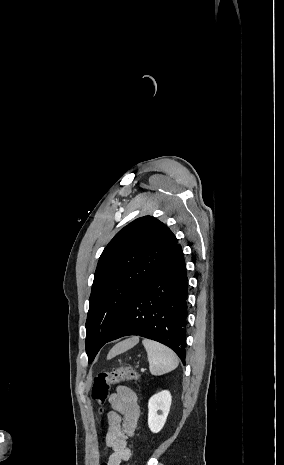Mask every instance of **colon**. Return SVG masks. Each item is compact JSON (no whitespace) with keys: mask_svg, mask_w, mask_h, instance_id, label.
<instances>
[{"mask_svg":"<svg viewBox=\"0 0 284 465\" xmlns=\"http://www.w3.org/2000/svg\"><path fill=\"white\" fill-rule=\"evenodd\" d=\"M137 378L138 373L132 367L120 368L110 373H99L93 380L90 396L98 405L104 406L107 401L110 385L125 380H136ZM102 465H107V462H102Z\"/></svg>","mask_w":284,"mask_h":465,"instance_id":"5ec220e1","label":"colon"}]
</instances>
